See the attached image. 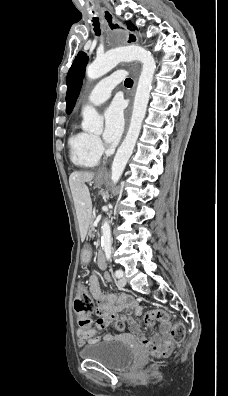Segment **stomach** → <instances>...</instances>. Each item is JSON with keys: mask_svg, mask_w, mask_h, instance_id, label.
I'll return each instance as SVG.
<instances>
[{"mask_svg": "<svg viewBox=\"0 0 228 396\" xmlns=\"http://www.w3.org/2000/svg\"><path fill=\"white\" fill-rule=\"evenodd\" d=\"M105 180H106V177L98 176L96 178L95 182H96V184L98 186H100V185H102L105 182ZM90 254H91L90 246L88 244H85L83 249H82V257H83V259H88L90 257Z\"/></svg>", "mask_w": 228, "mask_h": 396, "instance_id": "stomach-1", "label": "stomach"}]
</instances>
